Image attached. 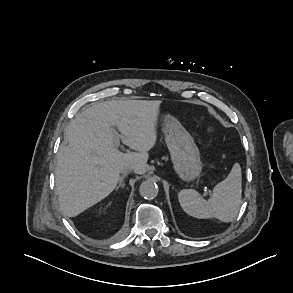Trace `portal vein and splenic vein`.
Returning <instances> with one entry per match:
<instances>
[{
	"mask_svg": "<svg viewBox=\"0 0 293 293\" xmlns=\"http://www.w3.org/2000/svg\"><path fill=\"white\" fill-rule=\"evenodd\" d=\"M113 135H114V138H115V145L118 147L120 145V139H121V135L118 134L117 131H113Z\"/></svg>",
	"mask_w": 293,
	"mask_h": 293,
	"instance_id": "1",
	"label": "portal vein and splenic vein"
}]
</instances>
